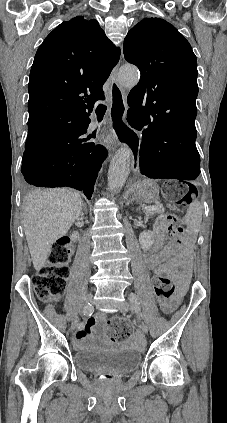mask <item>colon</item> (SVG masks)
<instances>
[{
    "label": "colon",
    "mask_w": 227,
    "mask_h": 423,
    "mask_svg": "<svg viewBox=\"0 0 227 423\" xmlns=\"http://www.w3.org/2000/svg\"><path fill=\"white\" fill-rule=\"evenodd\" d=\"M196 188L193 185H168L164 194L166 198L177 204H186L196 195ZM177 218L174 214H165L161 218L162 228L177 234L182 233V228L176 224ZM177 247V244L174 245ZM72 248L68 242L59 241L54 244L46 264L33 278V289L42 301H55L61 298L65 292L67 279L69 277V262ZM155 293L162 302L169 300L174 294V285L170 278L158 276L154 279ZM112 324L116 328V335L128 336L132 331L131 324L123 318H115Z\"/></svg>",
    "instance_id": "colon-1"
}]
</instances>
